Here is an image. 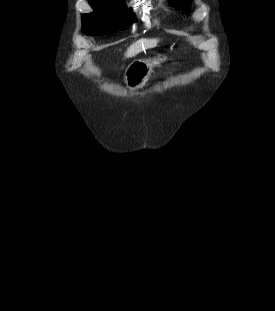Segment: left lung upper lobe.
Returning a JSON list of instances; mask_svg holds the SVG:
<instances>
[{
	"label": "left lung upper lobe",
	"instance_id": "obj_1",
	"mask_svg": "<svg viewBox=\"0 0 275 311\" xmlns=\"http://www.w3.org/2000/svg\"><path fill=\"white\" fill-rule=\"evenodd\" d=\"M169 5L175 7L178 10L188 11L191 3L188 0H170Z\"/></svg>",
	"mask_w": 275,
	"mask_h": 311
}]
</instances>
